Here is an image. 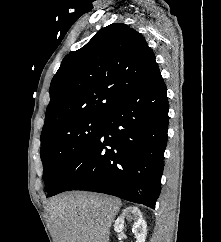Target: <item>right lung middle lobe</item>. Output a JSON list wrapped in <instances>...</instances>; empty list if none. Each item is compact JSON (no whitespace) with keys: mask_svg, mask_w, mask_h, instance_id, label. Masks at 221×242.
I'll use <instances>...</instances> for the list:
<instances>
[{"mask_svg":"<svg viewBox=\"0 0 221 242\" xmlns=\"http://www.w3.org/2000/svg\"><path fill=\"white\" fill-rule=\"evenodd\" d=\"M103 121V116H86L41 135L43 179L48 197L67 167L98 134Z\"/></svg>","mask_w":221,"mask_h":242,"instance_id":"obj_1","label":"right lung middle lobe"}]
</instances>
